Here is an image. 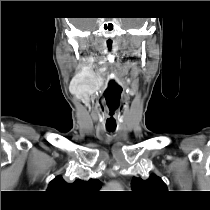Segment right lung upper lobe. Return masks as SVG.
<instances>
[{
  "mask_svg": "<svg viewBox=\"0 0 210 210\" xmlns=\"http://www.w3.org/2000/svg\"><path fill=\"white\" fill-rule=\"evenodd\" d=\"M101 183L97 179H90L89 181L76 180L73 183H67L61 176L55 177L48 186L47 191L56 195L65 196L75 190L81 189H100Z\"/></svg>",
  "mask_w": 210,
  "mask_h": 210,
  "instance_id": "obj_1",
  "label": "right lung upper lobe"
}]
</instances>
